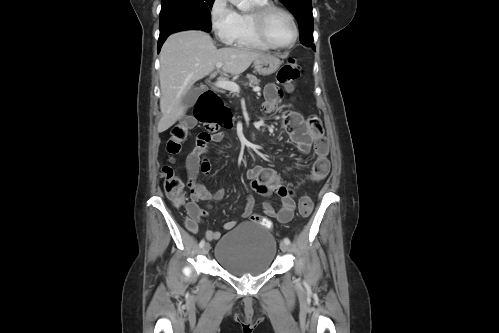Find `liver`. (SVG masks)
<instances>
[{
  "instance_id": "liver-1",
  "label": "liver",
  "mask_w": 499,
  "mask_h": 333,
  "mask_svg": "<svg viewBox=\"0 0 499 333\" xmlns=\"http://www.w3.org/2000/svg\"><path fill=\"white\" fill-rule=\"evenodd\" d=\"M265 53L241 47L217 49L210 35L199 30L181 31L165 41L160 53V110L158 132L174 125L186 112L182 98L193 84L208 76L218 62L231 75L243 73Z\"/></svg>"
}]
</instances>
